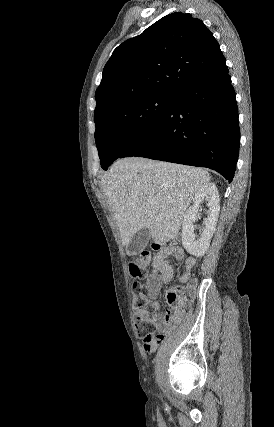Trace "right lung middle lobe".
Instances as JSON below:
<instances>
[{
    "mask_svg": "<svg viewBox=\"0 0 274 427\" xmlns=\"http://www.w3.org/2000/svg\"><path fill=\"white\" fill-rule=\"evenodd\" d=\"M172 94H145L121 100L94 117L101 167L107 170L164 117Z\"/></svg>",
    "mask_w": 274,
    "mask_h": 427,
    "instance_id": "1",
    "label": "right lung middle lobe"
}]
</instances>
